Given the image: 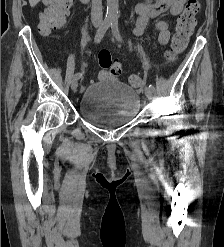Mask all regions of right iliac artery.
Here are the masks:
<instances>
[{"mask_svg":"<svg viewBox=\"0 0 224 247\" xmlns=\"http://www.w3.org/2000/svg\"><path fill=\"white\" fill-rule=\"evenodd\" d=\"M111 22H112V19H109V18H105L104 19V21L102 22L101 26L99 27V29L96 32V35H95V38H94L95 43H99L102 40V38L104 37L106 31L110 27ZM82 75H83L82 73H76L74 75V78L79 79L80 77H82Z\"/></svg>","mask_w":224,"mask_h":247,"instance_id":"obj_1","label":"right iliac artery"}]
</instances>
